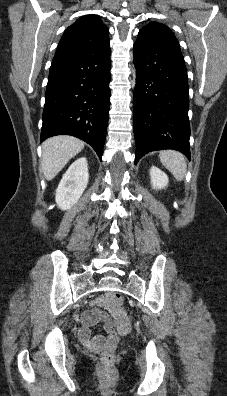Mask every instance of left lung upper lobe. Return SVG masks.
Listing matches in <instances>:
<instances>
[{
	"mask_svg": "<svg viewBox=\"0 0 227 396\" xmlns=\"http://www.w3.org/2000/svg\"><path fill=\"white\" fill-rule=\"evenodd\" d=\"M138 38L148 42H160L179 47L176 39L170 28L159 22H151L145 25L138 34Z\"/></svg>",
	"mask_w": 227,
	"mask_h": 396,
	"instance_id": "left-lung-upper-lobe-1",
	"label": "left lung upper lobe"
}]
</instances>
